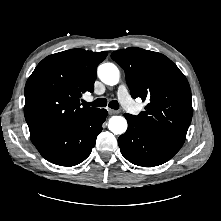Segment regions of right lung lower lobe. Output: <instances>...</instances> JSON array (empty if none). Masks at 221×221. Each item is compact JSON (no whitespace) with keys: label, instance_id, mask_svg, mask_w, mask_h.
I'll use <instances>...</instances> for the list:
<instances>
[{"label":"right lung lower lobe","instance_id":"right-lung-lower-lobe-1","mask_svg":"<svg viewBox=\"0 0 221 221\" xmlns=\"http://www.w3.org/2000/svg\"><path fill=\"white\" fill-rule=\"evenodd\" d=\"M106 116L107 111L99 109L81 118L62 135L34 145L49 162L60 166H75L90 155Z\"/></svg>","mask_w":221,"mask_h":221}]
</instances>
